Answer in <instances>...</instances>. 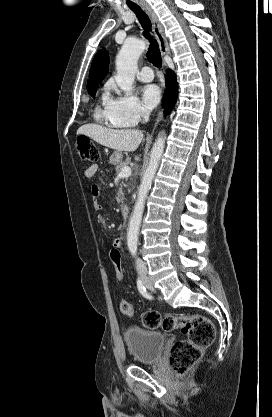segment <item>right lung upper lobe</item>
I'll return each instance as SVG.
<instances>
[{
  "label": "right lung upper lobe",
  "instance_id": "right-lung-upper-lobe-1",
  "mask_svg": "<svg viewBox=\"0 0 272 417\" xmlns=\"http://www.w3.org/2000/svg\"><path fill=\"white\" fill-rule=\"evenodd\" d=\"M109 57L105 49L100 50L94 57L87 82V90H97L98 84L108 72Z\"/></svg>",
  "mask_w": 272,
  "mask_h": 417
}]
</instances>
